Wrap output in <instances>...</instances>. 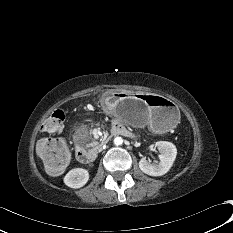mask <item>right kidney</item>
Wrapping results in <instances>:
<instances>
[{"mask_svg": "<svg viewBox=\"0 0 233 233\" xmlns=\"http://www.w3.org/2000/svg\"><path fill=\"white\" fill-rule=\"evenodd\" d=\"M89 180V173L83 168H74L64 177V183L70 188L83 187Z\"/></svg>", "mask_w": 233, "mask_h": 233, "instance_id": "right-kidney-1", "label": "right kidney"}]
</instances>
